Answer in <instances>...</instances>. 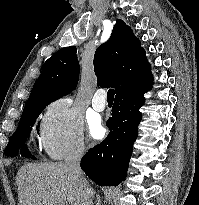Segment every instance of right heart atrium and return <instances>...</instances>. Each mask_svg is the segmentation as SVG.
Masks as SVG:
<instances>
[{
    "mask_svg": "<svg viewBox=\"0 0 199 205\" xmlns=\"http://www.w3.org/2000/svg\"><path fill=\"white\" fill-rule=\"evenodd\" d=\"M40 138L44 151L52 159L85 152L83 121L70 99L59 98L46 107L40 122Z\"/></svg>",
    "mask_w": 199,
    "mask_h": 205,
    "instance_id": "1",
    "label": "right heart atrium"
}]
</instances>
